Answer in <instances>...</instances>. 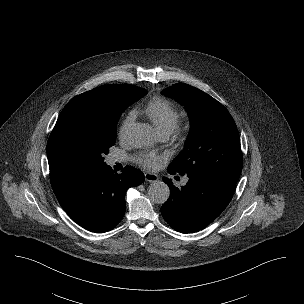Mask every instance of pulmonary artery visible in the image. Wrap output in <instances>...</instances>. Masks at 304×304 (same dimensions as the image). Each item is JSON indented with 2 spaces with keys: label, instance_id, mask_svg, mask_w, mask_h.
<instances>
[{
  "label": "pulmonary artery",
  "instance_id": "e3ab8cb5",
  "mask_svg": "<svg viewBox=\"0 0 304 304\" xmlns=\"http://www.w3.org/2000/svg\"><path fill=\"white\" fill-rule=\"evenodd\" d=\"M167 136H168V134H161V137H162V138H166ZM111 161H112L113 163L121 162V161H122V158H121V157H118V156H114V157L111 158ZM187 181H188L187 178H184V179H183V183H184V184H186Z\"/></svg>",
  "mask_w": 304,
  "mask_h": 304
}]
</instances>
